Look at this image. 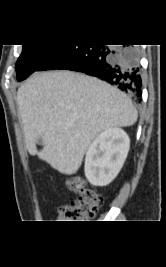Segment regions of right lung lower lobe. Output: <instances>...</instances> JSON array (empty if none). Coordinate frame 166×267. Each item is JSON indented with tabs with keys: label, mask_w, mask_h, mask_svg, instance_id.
I'll use <instances>...</instances> for the list:
<instances>
[{
	"label": "right lung lower lobe",
	"mask_w": 166,
	"mask_h": 267,
	"mask_svg": "<svg viewBox=\"0 0 166 267\" xmlns=\"http://www.w3.org/2000/svg\"><path fill=\"white\" fill-rule=\"evenodd\" d=\"M53 69L97 77L126 92L136 102L141 101L142 79L134 46L113 49L103 45H60L36 71Z\"/></svg>",
	"instance_id": "right-lung-lower-lobe-1"
}]
</instances>
